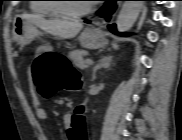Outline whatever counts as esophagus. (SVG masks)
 Here are the masks:
<instances>
[{
	"label": "esophagus",
	"instance_id": "esophagus-1",
	"mask_svg": "<svg viewBox=\"0 0 182 140\" xmlns=\"http://www.w3.org/2000/svg\"><path fill=\"white\" fill-rule=\"evenodd\" d=\"M98 32H102L103 30H105V26L104 25H100L99 27H97L96 29Z\"/></svg>",
	"mask_w": 182,
	"mask_h": 140
}]
</instances>
